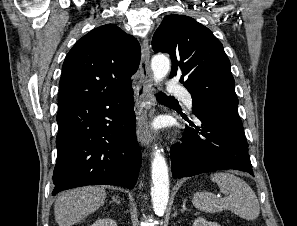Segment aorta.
Here are the masks:
<instances>
[{"label": "aorta", "mask_w": 297, "mask_h": 226, "mask_svg": "<svg viewBox=\"0 0 297 226\" xmlns=\"http://www.w3.org/2000/svg\"><path fill=\"white\" fill-rule=\"evenodd\" d=\"M151 68L156 83L162 81L170 69L169 59L157 54L152 58ZM151 176L153 186L151 188L152 205L155 214L162 216L166 210L169 199V174L168 166L161 151L155 147L151 162Z\"/></svg>", "instance_id": "762f6f07"}]
</instances>
